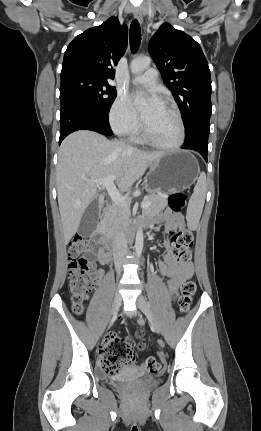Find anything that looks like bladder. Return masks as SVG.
I'll list each match as a JSON object with an SVG mask.
<instances>
[{
	"mask_svg": "<svg viewBox=\"0 0 261 431\" xmlns=\"http://www.w3.org/2000/svg\"><path fill=\"white\" fill-rule=\"evenodd\" d=\"M115 387L124 390H147L157 383L155 377L138 376L134 369L128 368L122 371L115 378Z\"/></svg>",
	"mask_w": 261,
	"mask_h": 431,
	"instance_id": "bladder-1",
	"label": "bladder"
}]
</instances>
